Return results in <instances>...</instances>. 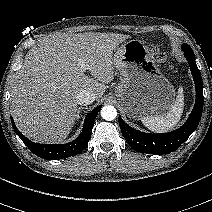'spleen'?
Masks as SVG:
<instances>
[{
  "mask_svg": "<svg viewBox=\"0 0 212 212\" xmlns=\"http://www.w3.org/2000/svg\"><path fill=\"white\" fill-rule=\"evenodd\" d=\"M184 110V90L183 87L178 89L175 103L165 116L160 117H143L141 121L145 127L153 132H167L173 129L183 114Z\"/></svg>",
  "mask_w": 212,
  "mask_h": 212,
  "instance_id": "spleen-1",
  "label": "spleen"
}]
</instances>
